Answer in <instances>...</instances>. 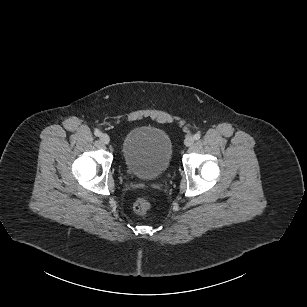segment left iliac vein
Masks as SVG:
<instances>
[{
  "label": "left iliac vein",
  "mask_w": 307,
  "mask_h": 307,
  "mask_svg": "<svg viewBox=\"0 0 307 307\" xmlns=\"http://www.w3.org/2000/svg\"><path fill=\"white\" fill-rule=\"evenodd\" d=\"M194 143V138L192 136L186 137L184 144L189 147Z\"/></svg>",
  "instance_id": "left-iliac-vein-1"
}]
</instances>
